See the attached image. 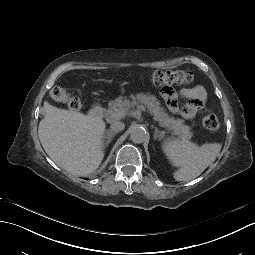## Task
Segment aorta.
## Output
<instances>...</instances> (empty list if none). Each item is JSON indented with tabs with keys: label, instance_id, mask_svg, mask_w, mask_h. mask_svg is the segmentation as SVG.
Segmentation results:
<instances>
[{
	"label": "aorta",
	"instance_id": "aorta-1",
	"mask_svg": "<svg viewBox=\"0 0 255 255\" xmlns=\"http://www.w3.org/2000/svg\"><path fill=\"white\" fill-rule=\"evenodd\" d=\"M130 137L134 143H143L147 137L146 130L140 126H136L131 130Z\"/></svg>",
	"mask_w": 255,
	"mask_h": 255
}]
</instances>
